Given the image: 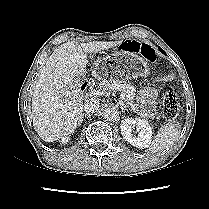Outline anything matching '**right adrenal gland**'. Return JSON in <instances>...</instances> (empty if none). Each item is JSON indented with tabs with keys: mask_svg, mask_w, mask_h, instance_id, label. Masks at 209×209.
<instances>
[{
	"mask_svg": "<svg viewBox=\"0 0 209 209\" xmlns=\"http://www.w3.org/2000/svg\"><path fill=\"white\" fill-rule=\"evenodd\" d=\"M90 116H91L90 114H84V113H83V114H82V121H83V118H84V117L89 118Z\"/></svg>",
	"mask_w": 209,
	"mask_h": 209,
	"instance_id": "obj_1",
	"label": "right adrenal gland"
}]
</instances>
